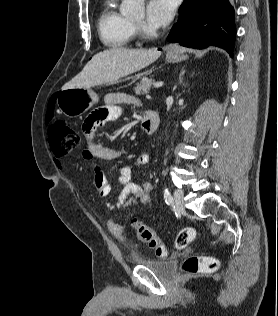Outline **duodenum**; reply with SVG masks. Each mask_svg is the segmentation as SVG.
<instances>
[{"instance_id": "1", "label": "duodenum", "mask_w": 278, "mask_h": 316, "mask_svg": "<svg viewBox=\"0 0 278 316\" xmlns=\"http://www.w3.org/2000/svg\"><path fill=\"white\" fill-rule=\"evenodd\" d=\"M159 122V115L155 111H149L142 120V129L145 133L152 134L158 128Z\"/></svg>"}]
</instances>
